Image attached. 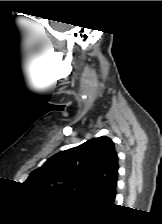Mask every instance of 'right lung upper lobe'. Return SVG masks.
Segmentation results:
<instances>
[{
  "label": "right lung upper lobe",
  "instance_id": "obj_1",
  "mask_svg": "<svg viewBox=\"0 0 162 224\" xmlns=\"http://www.w3.org/2000/svg\"><path fill=\"white\" fill-rule=\"evenodd\" d=\"M118 157L114 143L99 137L59 152L34 170L32 188L74 195L90 203L111 202L116 195Z\"/></svg>",
  "mask_w": 162,
  "mask_h": 224
}]
</instances>
